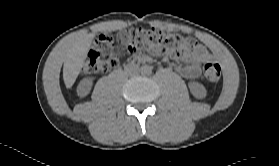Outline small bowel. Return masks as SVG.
<instances>
[{"label":"small bowel","instance_id":"c3829d8e","mask_svg":"<svg viewBox=\"0 0 279 166\" xmlns=\"http://www.w3.org/2000/svg\"><path fill=\"white\" fill-rule=\"evenodd\" d=\"M210 57V53L204 47L199 46L183 56V61L186 64L179 66L177 69L185 78H196L199 75L201 63L210 59Z\"/></svg>","mask_w":279,"mask_h":166}]
</instances>
